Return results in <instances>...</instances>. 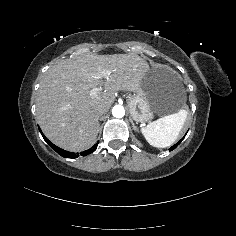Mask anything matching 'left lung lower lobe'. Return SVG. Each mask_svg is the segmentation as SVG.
<instances>
[{"label":"left lung lower lobe","instance_id":"0a47b994","mask_svg":"<svg viewBox=\"0 0 236 236\" xmlns=\"http://www.w3.org/2000/svg\"><path fill=\"white\" fill-rule=\"evenodd\" d=\"M183 138H184V137H183ZM183 138H182L177 144L173 145L169 150H170V151L174 150V149L181 143V141L183 140Z\"/></svg>","mask_w":236,"mask_h":236}]
</instances>
